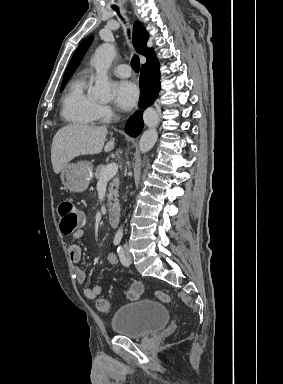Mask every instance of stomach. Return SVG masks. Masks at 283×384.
Returning a JSON list of instances; mask_svg holds the SVG:
<instances>
[{"instance_id":"1","label":"stomach","mask_w":283,"mask_h":384,"mask_svg":"<svg viewBox=\"0 0 283 384\" xmlns=\"http://www.w3.org/2000/svg\"><path fill=\"white\" fill-rule=\"evenodd\" d=\"M61 182L63 188L69 192H85L93 178L92 162H77V164H66L61 172Z\"/></svg>"}]
</instances>
